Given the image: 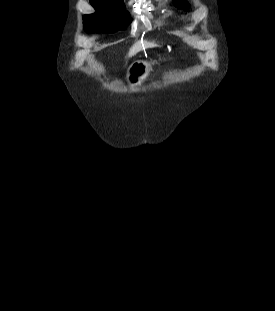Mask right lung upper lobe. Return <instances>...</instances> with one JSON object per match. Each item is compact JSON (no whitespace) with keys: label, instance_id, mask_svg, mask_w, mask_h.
<instances>
[{"label":"right lung upper lobe","instance_id":"1","mask_svg":"<svg viewBox=\"0 0 275 311\" xmlns=\"http://www.w3.org/2000/svg\"><path fill=\"white\" fill-rule=\"evenodd\" d=\"M93 6L95 5H121L123 0H90Z\"/></svg>","mask_w":275,"mask_h":311}]
</instances>
